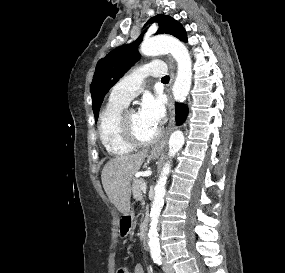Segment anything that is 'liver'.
Here are the masks:
<instances>
[{"instance_id":"1","label":"liver","mask_w":285,"mask_h":273,"mask_svg":"<svg viewBox=\"0 0 285 273\" xmlns=\"http://www.w3.org/2000/svg\"><path fill=\"white\" fill-rule=\"evenodd\" d=\"M147 150L109 160L101 174L103 188L114 206L123 214L130 212L131 180L140 169Z\"/></svg>"}]
</instances>
